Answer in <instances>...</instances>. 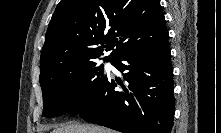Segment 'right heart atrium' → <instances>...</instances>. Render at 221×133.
Instances as JSON below:
<instances>
[{
    "mask_svg": "<svg viewBox=\"0 0 221 133\" xmlns=\"http://www.w3.org/2000/svg\"><path fill=\"white\" fill-rule=\"evenodd\" d=\"M88 93V82L83 77L75 80L73 85V94L77 100H82Z\"/></svg>",
    "mask_w": 221,
    "mask_h": 133,
    "instance_id": "right-heart-atrium-1",
    "label": "right heart atrium"
}]
</instances>
